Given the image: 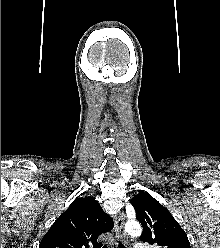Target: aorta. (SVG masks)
Segmentation results:
<instances>
[{"mask_svg": "<svg viewBox=\"0 0 220 248\" xmlns=\"http://www.w3.org/2000/svg\"><path fill=\"white\" fill-rule=\"evenodd\" d=\"M125 231L130 235L131 237H137L140 236L142 233V228L140 224L135 220H129L125 224Z\"/></svg>", "mask_w": 220, "mask_h": 248, "instance_id": "1", "label": "aorta"}]
</instances>
